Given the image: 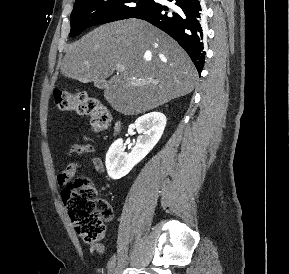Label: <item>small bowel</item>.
<instances>
[{
  "instance_id": "1",
  "label": "small bowel",
  "mask_w": 289,
  "mask_h": 274,
  "mask_svg": "<svg viewBox=\"0 0 289 274\" xmlns=\"http://www.w3.org/2000/svg\"><path fill=\"white\" fill-rule=\"evenodd\" d=\"M95 147L90 143V138L87 136L82 137L81 143H74L70 146L68 150V155L75 156V155H90L87 162L90 163L97 172H104V164L103 161L94 156ZM83 164L77 161L71 162L67 165V167L58 175L57 181L58 184L61 186H65L69 183L72 178L76 175L78 170L83 168ZM90 249L92 251L98 252L100 254L104 253L105 247L100 242H93L90 244Z\"/></svg>"
}]
</instances>
